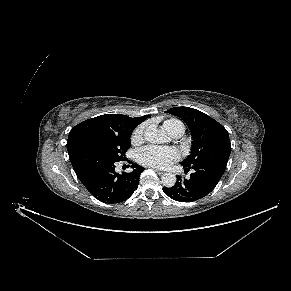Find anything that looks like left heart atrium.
<instances>
[{"label":"left heart atrium","instance_id":"obj_1","mask_svg":"<svg viewBox=\"0 0 291 291\" xmlns=\"http://www.w3.org/2000/svg\"><path fill=\"white\" fill-rule=\"evenodd\" d=\"M178 158L176 150L157 146H146L139 150L137 159L146 166L165 168Z\"/></svg>","mask_w":291,"mask_h":291}]
</instances>
